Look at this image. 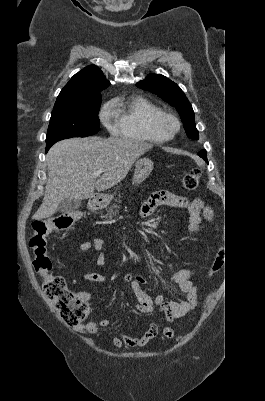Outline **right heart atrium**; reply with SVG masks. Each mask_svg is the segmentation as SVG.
Wrapping results in <instances>:
<instances>
[{
    "label": "right heart atrium",
    "mask_w": 265,
    "mask_h": 401,
    "mask_svg": "<svg viewBox=\"0 0 265 401\" xmlns=\"http://www.w3.org/2000/svg\"><path fill=\"white\" fill-rule=\"evenodd\" d=\"M100 118L104 124H106L108 126L113 125L114 116L111 112V108H110L109 104H105L104 106H102V108L100 110Z\"/></svg>",
    "instance_id": "1"
}]
</instances>
